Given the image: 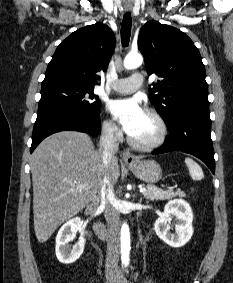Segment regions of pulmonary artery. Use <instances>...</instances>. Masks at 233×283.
Wrapping results in <instances>:
<instances>
[{"instance_id": "1", "label": "pulmonary artery", "mask_w": 233, "mask_h": 283, "mask_svg": "<svg viewBox=\"0 0 233 283\" xmlns=\"http://www.w3.org/2000/svg\"><path fill=\"white\" fill-rule=\"evenodd\" d=\"M143 83L140 73H134L128 78L120 79L112 84V89L121 94H130L138 90Z\"/></svg>"}]
</instances>
